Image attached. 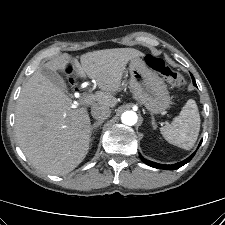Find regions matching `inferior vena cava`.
<instances>
[{
	"mask_svg": "<svg viewBox=\"0 0 225 225\" xmlns=\"http://www.w3.org/2000/svg\"><path fill=\"white\" fill-rule=\"evenodd\" d=\"M111 114V110L107 106L103 105H94L91 108V115L93 118L97 119L98 121L100 120H105L107 119Z\"/></svg>",
	"mask_w": 225,
	"mask_h": 225,
	"instance_id": "1",
	"label": "inferior vena cava"
}]
</instances>
